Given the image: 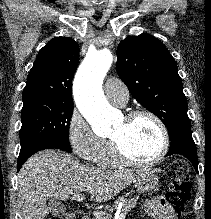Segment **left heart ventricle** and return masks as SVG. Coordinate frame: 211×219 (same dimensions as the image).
I'll list each match as a JSON object with an SVG mask.
<instances>
[{
    "label": "left heart ventricle",
    "instance_id": "obj_1",
    "mask_svg": "<svg viewBox=\"0 0 211 219\" xmlns=\"http://www.w3.org/2000/svg\"><path fill=\"white\" fill-rule=\"evenodd\" d=\"M111 138L119 140L130 157L143 161L153 159L159 153L162 142L160 129L147 116H140L131 122L123 119Z\"/></svg>",
    "mask_w": 211,
    "mask_h": 219
}]
</instances>
